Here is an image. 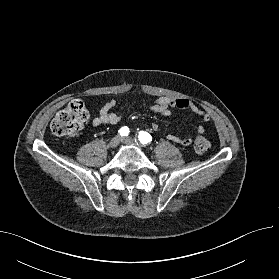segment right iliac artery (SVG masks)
I'll return each mask as SVG.
<instances>
[{"label":"right iliac artery","mask_w":279,"mask_h":279,"mask_svg":"<svg viewBox=\"0 0 279 279\" xmlns=\"http://www.w3.org/2000/svg\"><path fill=\"white\" fill-rule=\"evenodd\" d=\"M129 128L128 127H122L120 130H119V134L121 136H127L129 134Z\"/></svg>","instance_id":"82829eb1"}]
</instances>
